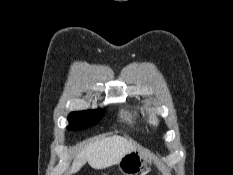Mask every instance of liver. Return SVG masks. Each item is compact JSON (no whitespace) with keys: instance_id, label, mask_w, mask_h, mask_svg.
<instances>
[{"instance_id":"liver-1","label":"liver","mask_w":233,"mask_h":175,"mask_svg":"<svg viewBox=\"0 0 233 175\" xmlns=\"http://www.w3.org/2000/svg\"><path fill=\"white\" fill-rule=\"evenodd\" d=\"M135 149L133 141L121 136L97 138L77 154L70 172H78L86 162L94 169L108 168L118 164L124 155Z\"/></svg>"}]
</instances>
